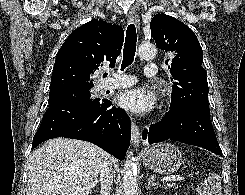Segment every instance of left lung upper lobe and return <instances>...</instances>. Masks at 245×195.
Returning a JSON list of instances; mask_svg holds the SVG:
<instances>
[{
  "mask_svg": "<svg viewBox=\"0 0 245 195\" xmlns=\"http://www.w3.org/2000/svg\"><path fill=\"white\" fill-rule=\"evenodd\" d=\"M156 45L171 52V109L197 106L209 110L207 72L201 66L203 51L194 32L183 22L166 14H156L150 23Z\"/></svg>",
  "mask_w": 245,
  "mask_h": 195,
  "instance_id": "5c2ea615",
  "label": "left lung upper lobe"
}]
</instances>
